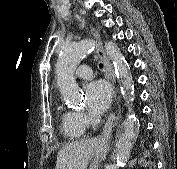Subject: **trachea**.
I'll use <instances>...</instances> for the list:
<instances>
[{
	"label": "trachea",
	"mask_w": 177,
	"mask_h": 169,
	"mask_svg": "<svg viewBox=\"0 0 177 169\" xmlns=\"http://www.w3.org/2000/svg\"><path fill=\"white\" fill-rule=\"evenodd\" d=\"M99 67H100V68H103V64H102V63H100V64H99Z\"/></svg>",
	"instance_id": "3493384b"
}]
</instances>
